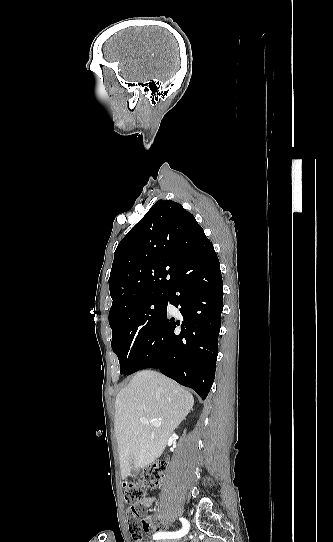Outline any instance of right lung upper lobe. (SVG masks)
Returning a JSON list of instances; mask_svg holds the SVG:
<instances>
[{"mask_svg": "<svg viewBox=\"0 0 333 542\" xmlns=\"http://www.w3.org/2000/svg\"><path fill=\"white\" fill-rule=\"evenodd\" d=\"M205 241L204 230L182 205L157 201L115 250L109 319L168 295L182 277L178 254Z\"/></svg>", "mask_w": 333, "mask_h": 542, "instance_id": "1", "label": "right lung upper lobe"}]
</instances>
